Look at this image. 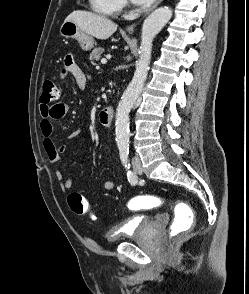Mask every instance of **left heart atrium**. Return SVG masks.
<instances>
[{
    "label": "left heart atrium",
    "mask_w": 249,
    "mask_h": 294,
    "mask_svg": "<svg viewBox=\"0 0 249 294\" xmlns=\"http://www.w3.org/2000/svg\"><path fill=\"white\" fill-rule=\"evenodd\" d=\"M131 1L137 5H143V4H149L153 0H131Z\"/></svg>",
    "instance_id": "left-heart-atrium-1"
}]
</instances>
